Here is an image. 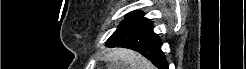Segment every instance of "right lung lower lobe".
<instances>
[{"instance_id":"1","label":"right lung lower lobe","mask_w":246,"mask_h":69,"mask_svg":"<svg viewBox=\"0 0 246 69\" xmlns=\"http://www.w3.org/2000/svg\"><path fill=\"white\" fill-rule=\"evenodd\" d=\"M142 18L140 24L120 35L108 47H124L138 51L159 69H168L165 55L160 49L159 36L152 30V22Z\"/></svg>"}]
</instances>
